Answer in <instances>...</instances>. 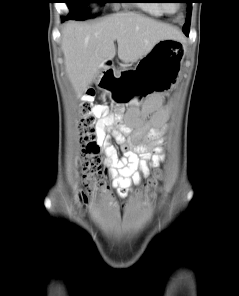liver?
<instances>
[{"mask_svg": "<svg viewBox=\"0 0 239 296\" xmlns=\"http://www.w3.org/2000/svg\"><path fill=\"white\" fill-rule=\"evenodd\" d=\"M181 39V32L168 24L134 12H119L93 25L68 22L62 29L61 49L70 83L78 97L96 79L101 68L116 55L135 62L162 39Z\"/></svg>", "mask_w": 239, "mask_h": 296, "instance_id": "6515ba94", "label": "liver"}]
</instances>
